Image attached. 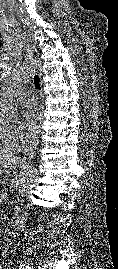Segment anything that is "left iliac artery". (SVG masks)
Wrapping results in <instances>:
<instances>
[{"label":"left iliac artery","instance_id":"44dca946","mask_svg":"<svg viewBox=\"0 0 118 269\" xmlns=\"http://www.w3.org/2000/svg\"><path fill=\"white\" fill-rule=\"evenodd\" d=\"M19 269H31V268L26 264H20Z\"/></svg>","mask_w":118,"mask_h":269}]
</instances>
